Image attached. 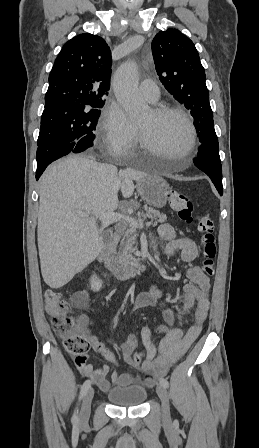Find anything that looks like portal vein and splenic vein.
<instances>
[{"label":"portal vein and splenic vein","mask_w":259,"mask_h":448,"mask_svg":"<svg viewBox=\"0 0 259 448\" xmlns=\"http://www.w3.org/2000/svg\"><path fill=\"white\" fill-rule=\"evenodd\" d=\"M80 218H89V214H85V212H76ZM99 220L103 226V228H107L109 224H115V222H120V220H126L128 224H130L131 228H144L143 220H134V218H130V216H122V214H117V212H108V214H102L99 216Z\"/></svg>","instance_id":"obj_1"}]
</instances>
